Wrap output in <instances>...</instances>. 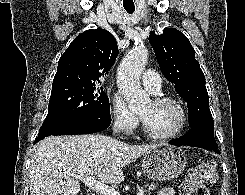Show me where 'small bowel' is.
<instances>
[{"label": "small bowel", "instance_id": "obj_1", "mask_svg": "<svg viewBox=\"0 0 245 195\" xmlns=\"http://www.w3.org/2000/svg\"><path fill=\"white\" fill-rule=\"evenodd\" d=\"M158 195H174V191L172 188L164 187L159 191Z\"/></svg>", "mask_w": 245, "mask_h": 195}]
</instances>
